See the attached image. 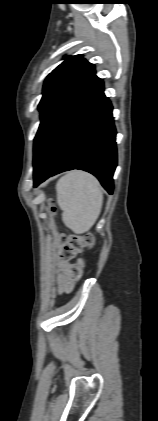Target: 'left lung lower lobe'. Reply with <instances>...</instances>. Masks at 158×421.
<instances>
[{"label": "left lung lower lobe", "mask_w": 158, "mask_h": 421, "mask_svg": "<svg viewBox=\"0 0 158 421\" xmlns=\"http://www.w3.org/2000/svg\"><path fill=\"white\" fill-rule=\"evenodd\" d=\"M94 75L64 105L34 147V187L63 171L95 175L112 194L117 152L112 106Z\"/></svg>", "instance_id": "1"}]
</instances>
